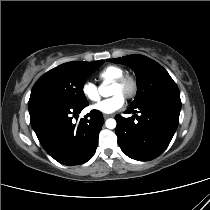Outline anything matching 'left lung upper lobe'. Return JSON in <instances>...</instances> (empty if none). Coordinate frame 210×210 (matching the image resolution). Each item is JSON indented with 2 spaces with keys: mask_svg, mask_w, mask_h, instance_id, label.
<instances>
[{
  "mask_svg": "<svg viewBox=\"0 0 210 210\" xmlns=\"http://www.w3.org/2000/svg\"><path fill=\"white\" fill-rule=\"evenodd\" d=\"M111 62L131 67L137 79V94L131 106L161 96H180L179 89L168 72L154 60L139 54L128 55Z\"/></svg>",
  "mask_w": 210,
  "mask_h": 210,
  "instance_id": "5c2ea615",
  "label": "left lung upper lobe"
}]
</instances>
